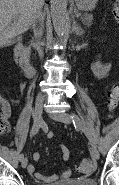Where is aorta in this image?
Wrapping results in <instances>:
<instances>
[{
	"label": "aorta",
	"mask_w": 119,
	"mask_h": 185,
	"mask_svg": "<svg viewBox=\"0 0 119 185\" xmlns=\"http://www.w3.org/2000/svg\"><path fill=\"white\" fill-rule=\"evenodd\" d=\"M68 0H51V18L54 30L58 37H61L66 27Z\"/></svg>",
	"instance_id": "762f6f07"
}]
</instances>
